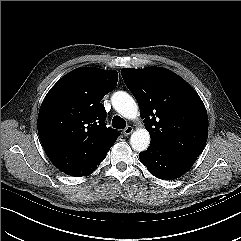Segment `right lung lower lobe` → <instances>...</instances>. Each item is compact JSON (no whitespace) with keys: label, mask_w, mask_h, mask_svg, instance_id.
Returning a JSON list of instances; mask_svg holds the SVG:
<instances>
[{"label":"right lung lower lobe","mask_w":241,"mask_h":241,"mask_svg":"<svg viewBox=\"0 0 241 241\" xmlns=\"http://www.w3.org/2000/svg\"><path fill=\"white\" fill-rule=\"evenodd\" d=\"M106 154L101 156L97 160L93 161L92 163H90L86 166L80 167L78 169H75L67 174L71 175V176L81 177V176H86V175L92 173V171H94V169L97 168V165L99 163H101V161L106 157Z\"/></svg>","instance_id":"1"}]
</instances>
